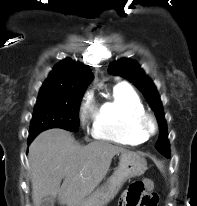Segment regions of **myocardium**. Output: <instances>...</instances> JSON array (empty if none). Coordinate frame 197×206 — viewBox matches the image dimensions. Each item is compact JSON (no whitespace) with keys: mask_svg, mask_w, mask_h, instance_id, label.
I'll list each match as a JSON object with an SVG mask.
<instances>
[{"mask_svg":"<svg viewBox=\"0 0 197 206\" xmlns=\"http://www.w3.org/2000/svg\"><path fill=\"white\" fill-rule=\"evenodd\" d=\"M137 125L139 132L146 138L152 136L157 131V123L155 118L146 112L137 118Z\"/></svg>","mask_w":197,"mask_h":206,"instance_id":"f54148a6","label":"myocardium"}]
</instances>
